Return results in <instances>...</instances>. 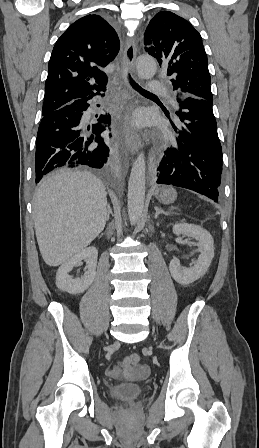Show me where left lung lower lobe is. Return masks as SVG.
Wrapping results in <instances>:
<instances>
[{
    "label": "left lung lower lobe",
    "instance_id": "obj_1",
    "mask_svg": "<svg viewBox=\"0 0 259 448\" xmlns=\"http://www.w3.org/2000/svg\"><path fill=\"white\" fill-rule=\"evenodd\" d=\"M176 112L181 124L177 146L168 148L157 168V183L171 184L203 194L215 201L222 174V148L213 114V101L179 92Z\"/></svg>",
    "mask_w": 259,
    "mask_h": 448
}]
</instances>
